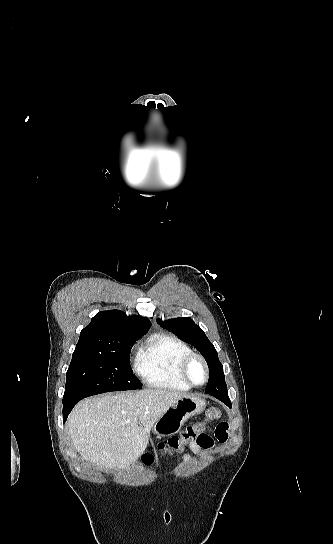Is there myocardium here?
<instances>
[{"label":"myocardium","instance_id":"myocardium-1","mask_svg":"<svg viewBox=\"0 0 333 544\" xmlns=\"http://www.w3.org/2000/svg\"><path fill=\"white\" fill-rule=\"evenodd\" d=\"M194 361H199L205 369V380L201 384L194 383L189 377V368ZM178 374L180 379L189 387H201L207 384L210 378V369L205 358L197 353H190L183 357L179 363Z\"/></svg>","mask_w":333,"mask_h":544}]
</instances>
